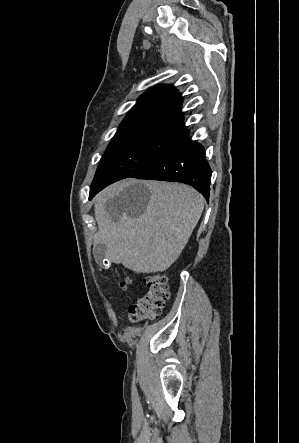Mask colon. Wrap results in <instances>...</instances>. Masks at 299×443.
Wrapping results in <instances>:
<instances>
[{"label":"colon","mask_w":299,"mask_h":443,"mask_svg":"<svg viewBox=\"0 0 299 443\" xmlns=\"http://www.w3.org/2000/svg\"><path fill=\"white\" fill-rule=\"evenodd\" d=\"M130 283L128 278L121 281L120 286L126 287ZM146 291L137 298L128 308L132 321L153 319L160 315L164 302L168 297L167 280L161 274H151L145 277Z\"/></svg>","instance_id":"obj_1"}]
</instances>
